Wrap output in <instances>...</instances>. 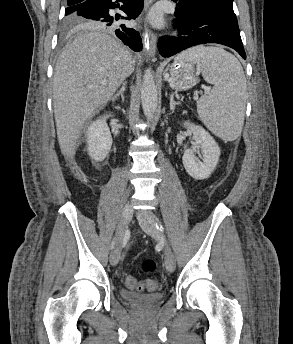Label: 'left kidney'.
Returning a JSON list of instances; mask_svg holds the SVG:
<instances>
[{
  "instance_id": "5707ae66",
  "label": "left kidney",
  "mask_w": 293,
  "mask_h": 344,
  "mask_svg": "<svg viewBox=\"0 0 293 344\" xmlns=\"http://www.w3.org/2000/svg\"><path fill=\"white\" fill-rule=\"evenodd\" d=\"M184 127L191 130L196 146L201 149V159L195 156V147L187 149L182 157L186 172L196 180L208 178L216 168L221 154L220 147L214 138L201 126L189 121L183 123Z\"/></svg>"
}]
</instances>
